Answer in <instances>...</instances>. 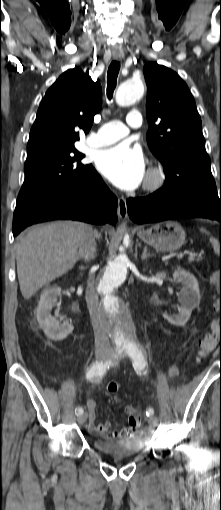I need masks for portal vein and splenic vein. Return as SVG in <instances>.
<instances>
[{"label":"portal vein and splenic vein","instance_id":"18ae733b","mask_svg":"<svg viewBox=\"0 0 221 510\" xmlns=\"http://www.w3.org/2000/svg\"><path fill=\"white\" fill-rule=\"evenodd\" d=\"M181 256H182V254L178 255V258H180ZM194 259H195V255H190V256L188 257V260H189V261H192V260H194Z\"/></svg>","mask_w":221,"mask_h":510}]
</instances>
